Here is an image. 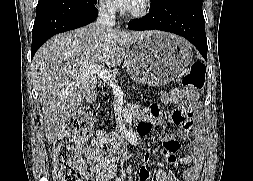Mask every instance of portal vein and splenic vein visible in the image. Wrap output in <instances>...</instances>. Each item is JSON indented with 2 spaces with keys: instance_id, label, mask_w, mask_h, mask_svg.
Wrapping results in <instances>:
<instances>
[{
  "instance_id": "portal-vein-and-splenic-vein-1",
  "label": "portal vein and splenic vein",
  "mask_w": 253,
  "mask_h": 181,
  "mask_svg": "<svg viewBox=\"0 0 253 181\" xmlns=\"http://www.w3.org/2000/svg\"><path fill=\"white\" fill-rule=\"evenodd\" d=\"M97 74L105 83L112 87L113 91L121 92V88L116 84L115 75L112 74L104 65H91L83 72L84 77Z\"/></svg>"
}]
</instances>
